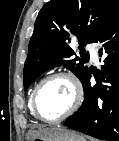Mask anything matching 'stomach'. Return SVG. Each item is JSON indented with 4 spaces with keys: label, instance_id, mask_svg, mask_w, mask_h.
I'll list each match as a JSON object with an SVG mask.
<instances>
[{
    "label": "stomach",
    "instance_id": "0dacf381",
    "mask_svg": "<svg viewBox=\"0 0 119 141\" xmlns=\"http://www.w3.org/2000/svg\"><path fill=\"white\" fill-rule=\"evenodd\" d=\"M26 141H86L79 133L63 129L50 128L44 130H29L25 135Z\"/></svg>",
    "mask_w": 119,
    "mask_h": 141
}]
</instances>
